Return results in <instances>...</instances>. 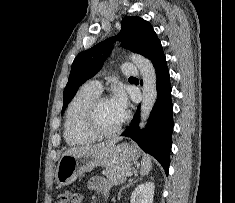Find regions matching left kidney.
Returning <instances> with one entry per match:
<instances>
[{"instance_id":"left-kidney-1","label":"left kidney","mask_w":235,"mask_h":203,"mask_svg":"<svg viewBox=\"0 0 235 203\" xmlns=\"http://www.w3.org/2000/svg\"><path fill=\"white\" fill-rule=\"evenodd\" d=\"M155 185L153 182L139 184L131 195V203H153Z\"/></svg>"}]
</instances>
